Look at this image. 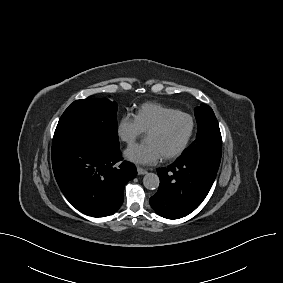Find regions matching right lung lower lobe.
Wrapping results in <instances>:
<instances>
[{
  "mask_svg": "<svg viewBox=\"0 0 283 283\" xmlns=\"http://www.w3.org/2000/svg\"><path fill=\"white\" fill-rule=\"evenodd\" d=\"M121 161L119 145L109 146L75 133L53 138L56 181L66 199L83 214L103 217L121 207L124 186L137 175L132 163Z\"/></svg>",
  "mask_w": 283,
  "mask_h": 283,
  "instance_id": "98d812e1",
  "label": "right lung lower lobe"
}]
</instances>
